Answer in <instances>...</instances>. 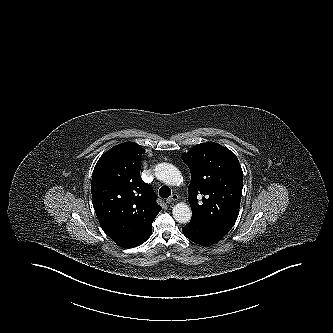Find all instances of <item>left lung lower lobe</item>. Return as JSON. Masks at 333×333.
<instances>
[{"label": "left lung lower lobe", "mask_w": 333, "mask_h": 333, "mask_svg": "<svg viewBox=\"0 0 333 333\" xmlns=\"http://www.w3.org/2000/svg\"><path fill=\"white\" fill-rule=\"evenodd\" d=\"M182 231L187 238L200 245L217 243L226 235V233L218 229L194 220H191L185 227H183Z\"/></svg>", "instance_id": "1"}]
</instances>
